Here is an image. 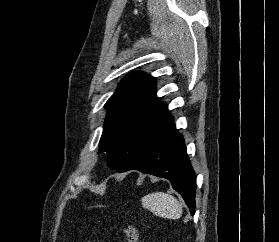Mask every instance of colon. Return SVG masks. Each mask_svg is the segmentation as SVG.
I'll return each mask as SVG.
<instances>
[{"instance_id":"5ec220e1","label":"colon","mask_w":279,"mask_h":242,"mask_svg":"<svg viewBox=\"0 0 279 242\" xmlns=\"http://www.w3.org/2000/svg\"><path fill=\"white\" fill-rule=\"evenodd\" d=\"M127 242H138V230L136 227L127 225L121 228Z\"/></svg>"}]
</instances>
